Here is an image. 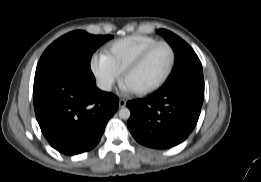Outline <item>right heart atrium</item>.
Instances as JSON below:
<instances>
[{"mask_svg":"<svg viewBox=\"0 0 261 182\" xmlns=\"http://www.w3.org/2000/svg\"><path fill=\"white\" fill-rule=\"evenodd\" d=\"M90 68L98 87L103 91H111L114 85L120 80V72L112 65L106 54H93L90 61Z\"/></svg>","mask_w":261,"mask_h":182,"instance_id":"d8ad5b80","label":"right heart atrium"}]
</instances>
